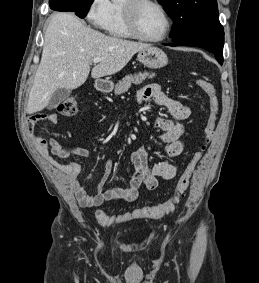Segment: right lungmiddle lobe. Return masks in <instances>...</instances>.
<instances>
[{"mask_svg": "<svg viewBox=\"0 0 259 283\" xmlns=\"http://www.w3.org/2000/svg\"><path fill=\"white\" fill-rule=\"evenodd\" d=\"M94 0H78V6L75 14L80 18H84L89 10L90 5Z\"/></svg>", "mask_w": 259, "mask_h": 283, "instance_id": "dd1d6c3e", "label": "right lung middle lobe"}]
</instances>
